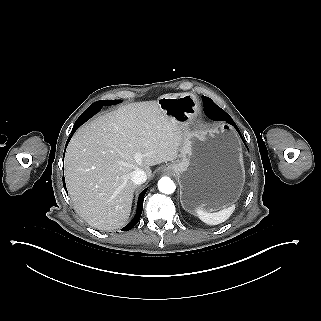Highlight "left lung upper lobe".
<instances>
[{
	"mask_svg": "<svg viewBox=\"0 0 321 321\" xmlns=\"http://www.w3.org/2000/svg\"><path fill=\"white\" fill-rule=\"evenodd\" d=\"M204 104L214 106L216 105L210 98L202 96Z\"/></svg>",
	"mask_w": 321,
	"mask_h": 321,
	"instance_id": "5c2ea615",
	"label": "left lung upper lobe"
}]
</instances>
